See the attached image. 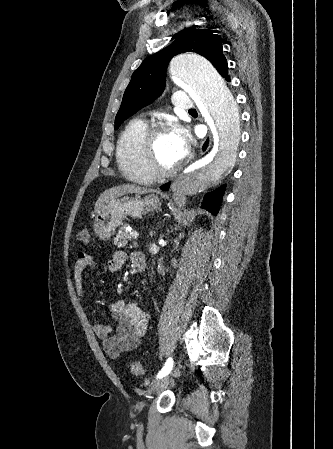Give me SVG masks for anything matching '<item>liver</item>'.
Instances as JSON below:
<instances>
[{"label":"liver","mask_w":333,"mask_h":449,"mask_svg":"<svg viewBox=\"0 0 333 449\" xmlns=\"http://www.w3.org/2000/svg\"><path fill=\"white\" fill-rule=\"evenodd\" d=\"M151 192V190H147L136 186L134 184H122L115 187H111L105 190L98 198L95 203V212L99 211L102 206H104L109 200L121 197L125 194H146Z\"/></svg>","instance_id":"6515ba94"}]
</instances>
